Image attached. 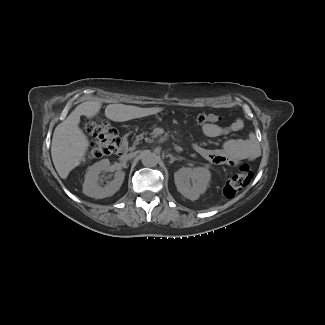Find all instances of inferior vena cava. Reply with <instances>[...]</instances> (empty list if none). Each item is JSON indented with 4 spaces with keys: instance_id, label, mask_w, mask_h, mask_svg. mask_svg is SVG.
Wrapping results in <instances>:
<instances>
[{
    "instance_id": "602c4592",
    "label": "inferior vena cava",
    "mask_w": 325,
    "mask_h": 325,
    "mask_svg": "<svg viewBox=\"0 0 325 325\" xmlns=\"http://www.w3.org/2000/svg\"><path fill=\"white\" fill-rule=\"evenodd\" d=\"M133 157H134V154H128V155L123 156L122 159H124V160H130Z\"/></svg>"
}]
</instances>
